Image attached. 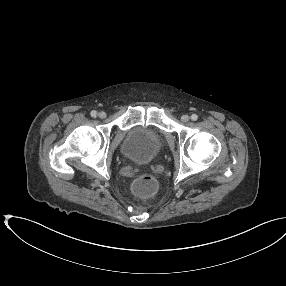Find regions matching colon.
Segmentation results:
<instances>
[{"instance_id": "colon-1", "label": "colon", "mask_w": 286, "mask_h": 286, "mask_svg": "<svg viewBox=\"0 0 286 286\" xmlns=\"http://www.w3.org/2000/svg\"><path fill=\"white\" fill-rule=\"evenodd\" d=\"M156 179L151 175L140 176L133 184V191L140 197L152 196L157 190Z\"/></svg>"}]
</instances>
